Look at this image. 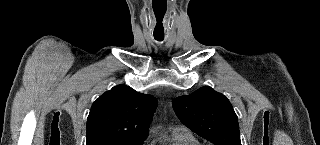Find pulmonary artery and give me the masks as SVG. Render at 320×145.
Listing matches in <instances>:
<instances>
[{
    "label": "pulmonary artery",
    "instance_id": "e3ab8cb5",
    "mask_svg": "<svg viewBox=\"0 0 320 145\" xmlns=\"http://www.w3.org/2000/svg\"><path fill=\"white\" fill-rule=\"evenodd\" d=\"M173 130H187V128H185V127H177V128H174Z\"/></svg>",
    "mask_w": 320,
    "mask_h": 145
}]
</instances>
